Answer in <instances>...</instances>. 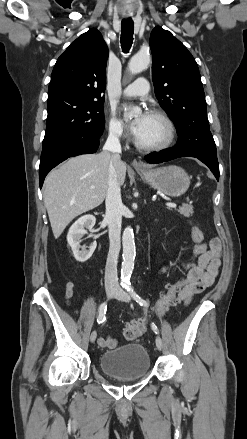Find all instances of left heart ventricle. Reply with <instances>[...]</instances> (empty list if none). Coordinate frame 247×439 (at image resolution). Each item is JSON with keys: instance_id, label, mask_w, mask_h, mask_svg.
<instances>
[{"instance_id": "left-heart-ventricle-1", "label": "left heart ventricle", "mask_w": 247, "mask_h": 439, "mask_svg": "<svg viewBox=\"0 0 247 439\" xmlns=\"http://www.w3.org/2000/svg\"><path fill=\"white\" fill-rule=\"evenodd\" d=\"M166 137L165 123L157 117L147 115L143 130L137 137L138 141L145 145H156L163 142Z\"/></svg>"}]
</instances>
